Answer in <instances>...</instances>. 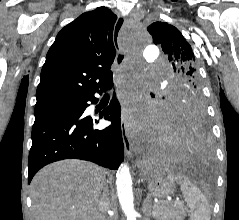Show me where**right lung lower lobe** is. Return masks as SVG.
<instances>
[{
    "label": "right lung lower lobe",
    "mask_w": 239,
    "mask_h": 220,
    "mask_svg": "<svg viewBox=\"0 0 239 220\" xmlns=\"http://www.w3.org/2000/svg\"><path fill=\"white\" fill-rule=\"evenodd\" d=\"M112 78L94 93L75 99L58 109L35 112L32 147L28 159V183L43 166L62 159H82L117 169L124 160L120 126V105L115 99L100 114L112 122L103 130L93 129L97 120L84 116L88 102L97 103L94 94L112 88Z\"/></svg>",
    "instance_id": "obj_1"
}]
</instances>
